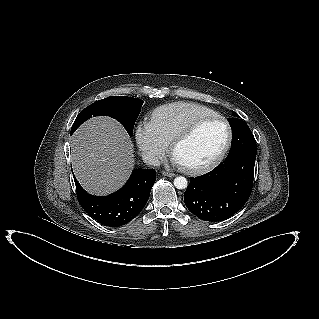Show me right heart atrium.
Listing matches in <instances>:
<instances>
[{
	"label": "right heart atrium",
	"instance_id": "right-heart-atrium-1",
	"mask_svg": "<svg viewBox=\"0 0 319 319\" xmlns=\"http://www.w3.org/2000/svg\"><path fill=\"white\" fill-rule=\"evenodd\" d=\"M134 136L142 157L148 163L157 165L167 152L169 143L155 131L148 121H141L136 125Z\"/></svg>",
	"mask_w": 319,
	"mask_h": 319
}]
</instances>
